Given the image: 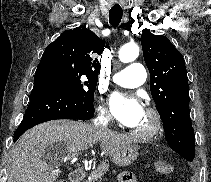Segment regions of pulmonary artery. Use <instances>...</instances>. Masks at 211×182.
<instances>
[{"label": "pulmonary artery", "instance_id": "1", "mask_svg": "<svg viewBox=\"0 0 211 182\" xmlns=\"http://www.w3.org/2000/svg\"><path fill=\"white\" fill-rule=\"evenodd\" d=\"M146 69L140 63H132L125 69L115 73L112 77L114 83L123 87H137L145 82Z\"/></svg>", "mask_w": 211, "mask_h": 182}]
</instances>
